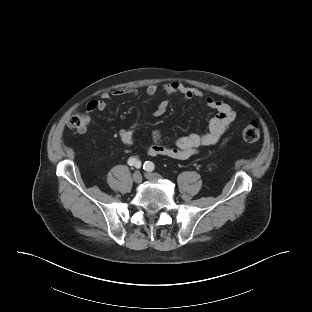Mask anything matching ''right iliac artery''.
Wrapping results in <instances>:
<instances>
[{
	"mask_svg": "<svg viewBox=\"0 0 312 312\" xmlns=\"http://www.w3.org/2000/svg\"><path fill=\"white\" fill-rule=\"evenodd\" d=\"M128 164L130 166H135L136 168H140L141 167V162L139 160H137L136 158H129L128 159Z\"/></svg>",
	"mask_w": 312,
	"mask_h": 312,
	"instance_id": "obj_1",
	"label": "right iliac artery"
}]
</instances>
